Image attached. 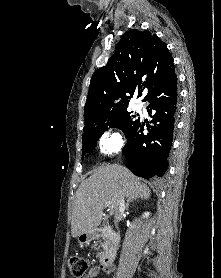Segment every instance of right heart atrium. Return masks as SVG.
Returning <instances> with one entry per match:
<instances>
[{
  "mask_svg": "<svg viewBox=\"0 0 221 278\" xmlns=\"http://www.w3.org/2000/svg\"><path fill=\"white\" fill-rule=\"evenodd\" d=\"M124 143L122 135L113 129L105 131L99 140L100 151L104 154H113L122 148Z\"/></svg>",
  "mask_w": 221,
  "mask_h": 278,
  "instance_id": "1",
  "label": "right heart atrium"
}]
</instances>
